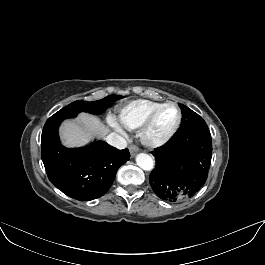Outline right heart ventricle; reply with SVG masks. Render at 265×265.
Listing matches in <instances>:
<instances>
[{
	"label": "right heart ventricle",
	"mask_w": 265,
	"mask_h": 265,
	"mask_svg": "<svg viewBox=\"0 0 265 265\" xmlns=\"http://www.w3.org/2000/svg\"><path fill=\"white\" fill-rule=\"evenodd\" d=\"M160 102L148 99H133L120 103L116 113L120 124L128 130H138L147 114Z\"/></svg>",
	"instance_id": "e07e8e85"
}]
</instances>
